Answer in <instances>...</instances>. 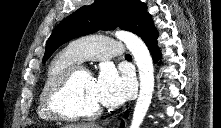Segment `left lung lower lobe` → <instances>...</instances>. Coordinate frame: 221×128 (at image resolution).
I'll use <instances>...</instances> for the list:
<instances>
[{
  "label": "left lung lower lobe",
  "instance_id": "1",
  "mask_svg": "<svg viewBox=\"0 0 221 128\" xmlns=\"http://www.w3.org/2000/svg\"><path fill=\"white\" fill-rule=\"evenodd\" d=\"M157 36H158V32H157L156 28L153 26V28L150 30L149 34L143 40L145 42V44L147 45L148 49L150 50L152 57H153V61L155 63H157L158 60L161 58L159 48L157 46V40H156ZM123 127H124V122L121 125V128H123Z\"/></svg>",
  "mask_w": 221,
  "mask_h": 128
}]
</instances>
